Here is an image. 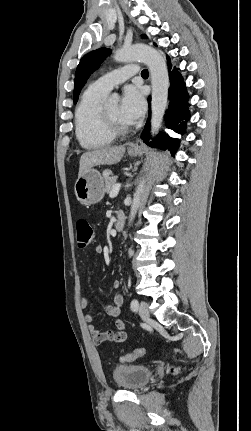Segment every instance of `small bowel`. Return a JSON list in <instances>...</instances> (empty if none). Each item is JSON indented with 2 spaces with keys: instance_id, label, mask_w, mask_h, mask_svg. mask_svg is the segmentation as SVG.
Instances as JSON below:
<instances>
[{
  "instance_id": "small-bowel-1",
  "label": "small bowel",
  "mask_w": 251,
  "mask_h": 431,
  "mask_svg": "<svg viewBox=\"0 0 251 431\" xmlns=\"http://www.w3.org/2000/svg\"><path fill=\"white\" fill-rule=\"evenodd\" d=\"M102 251H103V248L101 245H97L95 247V252L97 254H101ZM119 286H120V282L118 280H114L112 283V288L118 289ZM123 302H124V299L120 294H114L111 297V303L104 307L105 313L109 317L115 319L114 324H115L116 330H108V331L99 330L94 325L93 316L90 314H87L85 316V320L88 324V331H89L95 345H100L104 342L117 344V343L125 342L127 340V338H128V335L126 332L127 325L124 321H122L121 319L118 318L120 315V312H121ZM88 306H89L88 299L84 295H81L80 307L82 309H86V308H88Z\"/></svg>"
}]
</instances>
